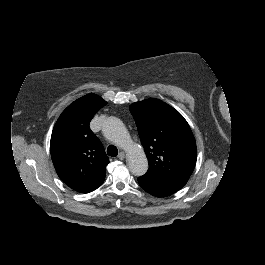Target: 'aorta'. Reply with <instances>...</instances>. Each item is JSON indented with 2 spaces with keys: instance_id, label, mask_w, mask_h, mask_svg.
Masks as SVG:
<instances>
[{
  "instance_id": "obj_1",
  "label": "aorta",
  "mask_w": 265,
  "mask_h": 265,
  "mask_svg": "<svg viewBox=\"0 0 265 265\" xmlns=\"http://www.w3.org/2000/svg\"><path fill=\"white\" fill-rule=\"evenodd\" d=\"M102 132L105 138L124 147L127 165L133 175L142 176L147 172L148 161L143 149L132 144L130 135L120 119L109 117L102 127Z\"/></svg>"
}]
</instances>
